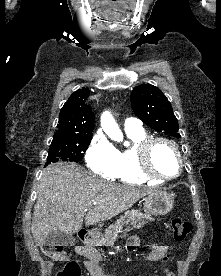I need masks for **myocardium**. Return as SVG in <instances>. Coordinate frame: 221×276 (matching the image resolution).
Returning a JSON list of instances; mask_svg holds the SVG:
<instances>
[{"label": "myocardium", "instance_id": "f54148a6", "mask_svg": "<svg viewBox=\"0 0 221 276\" xmlns=\"http://www.w3.org/2000/svg\"><path fill=\"white\" fill-rule=\"evenodd\" d=\"M159 142H163L169 145L177 157L178 170L173 175L164 176V175L158 174L152 166L151 152L153 147ZM136 153H137L138 165L141 173L150 180L158 181V182L171 181L179 177L182 172L183 159H182L181 152L178 146L172 140L166 137L151 136V137L145 138L137 145Z\"/></svg>", "mask_w": 221, "mask_h": 276}]
</instances>
